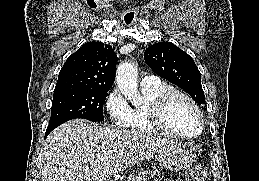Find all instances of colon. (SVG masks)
<instances>
[{
  "mask_svg": "<svg viewBox=\"0 0 259 181\" xmlns=\"http://www.w3.org/2000/svg\"><path fill=\"white\" fill-rule=\"evenodd\" d=\"M207 171L204 165H195L190 172V181H206Z\"/></svg>",
  "mask_w": 259,
  "mask_h": 181,
  "instance_id": "obj_1",
  "label": "colon"
}]
</instances>
